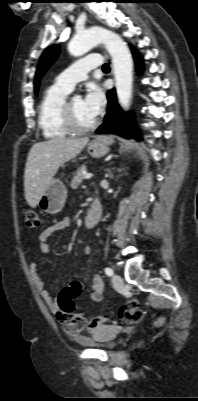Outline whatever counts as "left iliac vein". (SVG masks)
Returning <instances> with one entry per match:
<instances>
[{
    "mask_svg": "<svg viewBox=\"0 0 198 401\" xmlns=\"http://www.w3.org/2000/svg\"><path fill=\"white\" fill-rule=\"evenodd\" d=\"M112 280L115 288H117L118 290L124 287V282L120 275L114 274Z\"/></svg>",
    "mask_w": 198,
    "mask_h": 401,
    "instance_id": "4c4485c4",
    "label": "left iliac vein"
}]
</instances>
